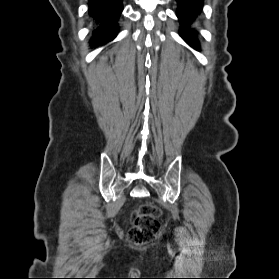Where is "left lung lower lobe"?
I'll use <instances>...</instances> for the list:
<instances>
[{
	"instance_id": "1",
	"label": "left lung lower lobe",
	"mask_w": 279,
	"mask_h": 279,
	"mask_svg": "<svg viewBox=\"0 0 279 279\" xmlns=\"http://www.w3.org/2000/svg\"><path fill=\"white\" fill-rule=\"evenodd\" d=\"M178 3L177 17L181 24V37L194 49L199 50V44L195 37V31L189 29L190 24L200 14L203 0H176Z\"/></svg>"
}]
</instances>
